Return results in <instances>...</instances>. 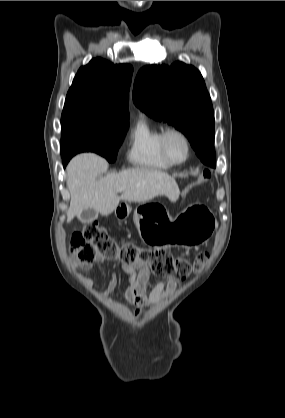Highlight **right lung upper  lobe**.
<instances>
[{
	"label": "right lung upper lobe",
	"mask_w": 285,
	"mask_h": 418,
	"mask_svg": "<svg viewBox=\"0 0 285 418\" xmlns=\"http://www.w3.org/2000/svg\"><path fill=\"white\" fill-rule=\"evenodd\" d=\"M133 67L93 59L81 67L70 87L63 112L129 123L128 98Z\"/></svg>",
	"instance_id": "right-lung-upper-lobe-1"
}]
</instances>
